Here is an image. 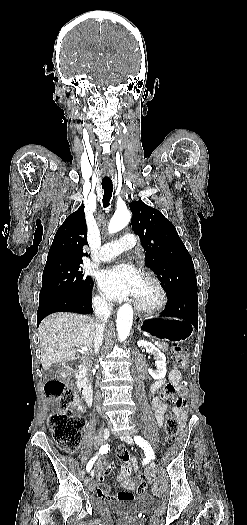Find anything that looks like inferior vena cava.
<instances>
[{"label":"inferior vena cava","mask_w":247,"mask_h":525,"mask_svg":"<svg viewBox=\"0 0 247 525\" xmlns=\"http://www.w3.org/2000/svg\"><path fill=\"white\" fill-rule=\"evenodd\" d=\"M112 307L107 301H100L95 303L94 313L96 317L95 333L93 335L94 351L95 355L99 353L103 343V333L105 329V323H107L111 315Z\"/></svg>","instance_id":"1"}]
</instances>
